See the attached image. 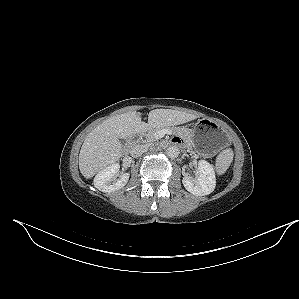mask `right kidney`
<instances>
[{"instance_id": "right-kidney-1", "label": "right kidney", "mask_w": 299, "mask_h": 299, "mask_svg": "<svg viewBox=\"0 0 299 299\" xmlns=\"http://www.w3.org/2000/svg\"><path fill=\"white\" fill-rule=\"evenodd\" d=\"M119 168L120 165L116 163L101 170L94 178V186L105 193H111L123 188L127 184L130 174L124 173L115 180ZM112 181L113 183L111 184Z\"/></svg>"}]
</instances>
